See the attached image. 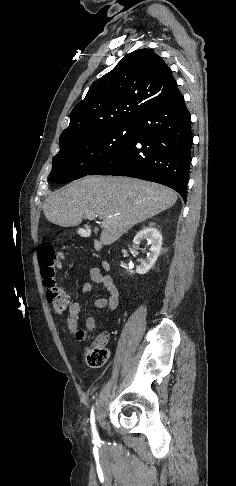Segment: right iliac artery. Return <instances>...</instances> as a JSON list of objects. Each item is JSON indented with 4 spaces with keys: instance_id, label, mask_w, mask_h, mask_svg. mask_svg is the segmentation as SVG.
I'll list each match as a JSON object with an SVG mask.
<instances>
[{
    "instance_id": "obj_1",
    "label": "right iliac artery",
    "mask_w": 236,
    "mask_h": 486,
    "mask_svg": "<svg viewBox=\"0 0 236 486\" xmlns=\"http://www.w3.org/2000/svg\"><path fill=\"white\" fill-rule=\"evenodd\" d=\"M90 421H91V426H92V432H93V438L95 442L99 441V436L95 428V417H94V410L92 408L91 410V416H90Z\"/></svg>"
}]
</instances>
